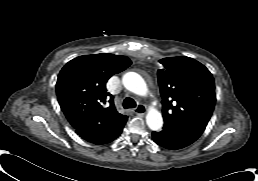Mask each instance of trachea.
<instances>
[{
	"mask_svg": "<svg viewBox=\"0 0 258 181\" xmlns=\"http://www.w3.org/2000/svg\"><path fill=\"white\" fill-rule=\"evenodd\" d=\"M123 107L125 109L127 108H135L136 107V102L130 98V97H126L123 101Z\"/></svg>",
	"mask_w": 258,
	"mask_h": 181,
	"instance_id": "obj_1",
	"label": "trachea"
}]
</instances>
